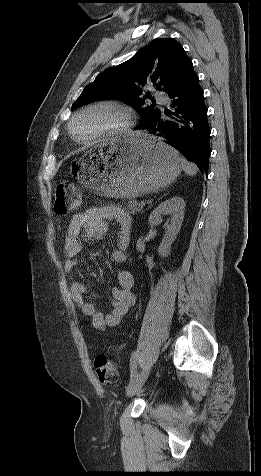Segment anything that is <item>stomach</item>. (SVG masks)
<instances>
[{
    "label": "stomach",
    "instance_id": "obj_1",
    "mask_svg": "<svg viewBox=\"0 0 261 476\" xmlns=\"http://www.w3.org/2000/svg\"><path fill=\"white\" fill-rule=\"evenodd\" d=\"M181 168L178 152L161 139L126 134L78 156L70 171L99 194L132 199L166 188Z\"/></svg>",
    "mask_w": 261,
    "mask_h": 476
}]
</instances>
